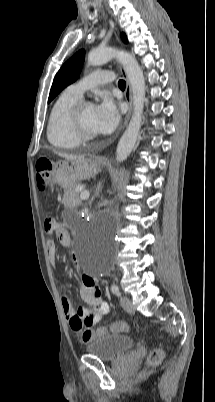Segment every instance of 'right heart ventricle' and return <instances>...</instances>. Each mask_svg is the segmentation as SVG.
<instances>
[{"label":"right heart ventricle","instance_id":"obj_1","mask_svg":"<svg viewBox=\"0 0 215 402\" xmlns=\"http://www.w3.org/2000/svg\"><path fill=\"white\" fill-rule=\"evenodd\" d=\"M80 100L81 97L69 89L64 90L55 100L49 114L46 132L49 143L55 148L68 150L81 144L69 123L70 110Z\"/></svg>","mask_w":215,"mask_h":402}]
</instances>
